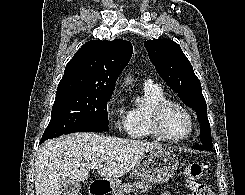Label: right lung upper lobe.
<instances>
[{"mask_svg": "<svg viewBox=\"0 0 245 195\" xmlns=\"http://www.w3.org/2000/svg\"><path fill=\"white\" fill-rule=\"evenodd\" d=\"M129 41L90 40L67 63L57 93L73 90L112 92L116 80L131 59Z\"/></svg>", "mask_w": 245, "mask_h": 195, "instance_id": "cb5924a9", "label": "right lung upper lobe"}]
</instances>
